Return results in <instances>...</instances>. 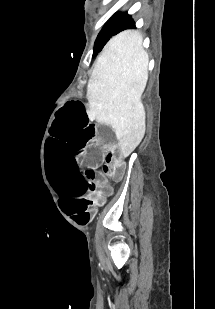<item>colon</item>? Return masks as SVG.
Listing matches in <instances>:
<instances>
[{
    "mask_svg": "<svg viewBox=\"0 0 215 309\" xmlns=\"http://www.w3.org/2000/svg\"><path fill=\"white\" fill-rule=\"evenodd\" d=\"M100 154H102V151L100 150ZM104 156V163L106 168H112L114 172L119 173L121 171V165L120 162L117 161V156H115L111 152H106L103 154Z\"/></svg>",
    "mask_w": 215,
    "mask_h": 309,
    "instance_id": "colon-1",
    "label": "colon"
}]
</instances>
